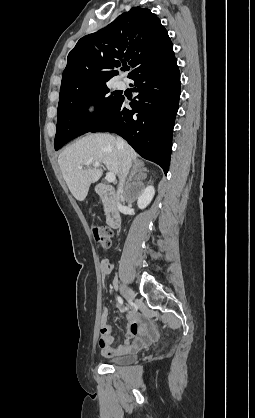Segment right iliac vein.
Returning a JSON list of instances; mask_svg holds the SVG:
<instances>
[{"instance_id": "63e3f726", "label": "right iliac vein", "mask_w": 255, "mask_h": 418, "mask_svg": "<svg viewBox=\"0 0 255 418\" xmlns=\"http://www.w3.org/2000/svg\"><path fill=\"white\" fill-rule=\"evenodd\" d=\"M120 291H121L122 295L125 297L126 300H128L129 302H133L134 293L129 287L121 284L120 285Z\"/></svg>"}]
</instances>
